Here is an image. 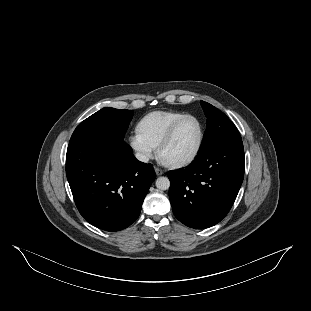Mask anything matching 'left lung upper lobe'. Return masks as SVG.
<instances>
[{
    "instance_id": "1",
    "label": "left lung upper lobe",
    "mask_w": 311,
    "mask_h": 311,
    "mask_svg": "<svg viewBox=\"0 0 311 311\" xmlns=\"http://www.w3.org/2000/svg\"><path fill=\"white\" fill-rule=\"evenodd\" d=\"M201 105L207 117V129L198 155L207 152L223 142L241 138L235 125L223 112L204 101H201Z\"/></svg>"
}]
</instances>
